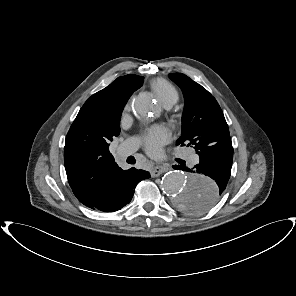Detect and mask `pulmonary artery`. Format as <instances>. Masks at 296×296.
I'll list each match as a JSON object with an SVG mask.
<instances>
[{"label": "pulmonary artery", "mask_w": 296, "mask_h": 296, "mask_svg": "<svg viewBox=\"0 0 296 296\" xmlns=\"http://www.w3.org/2000/svg\"><path fill=\"white\" fill-rule=\"evenodd\" d=\"M139 146V142L135 138H130L124 141L117 148V158L119 160L125 159L127 156L131 155ZM187 159L191 165L197 164L199 162V156L195 153H190L187 156Z\"/></svg>", "instance_id": "e3ab8cb5"}]
</instances>
